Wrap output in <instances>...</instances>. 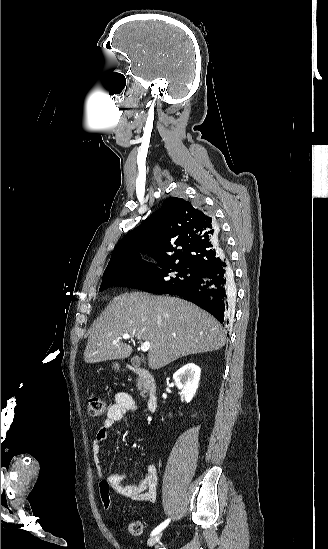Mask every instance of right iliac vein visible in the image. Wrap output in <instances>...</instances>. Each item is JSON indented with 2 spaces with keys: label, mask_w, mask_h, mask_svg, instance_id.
Instances as JSON below:
<instances>
[{
  "label": "right iliac vein",
  "mask_w": 328,
  "mask_h": 549,
  "mask_svg": "<svg viewBox=\"0 0 328 549\" xmlns=\"http://www.w3.org/2000/svg\"><path fill=\"white\" fill-rule=\"evenodd\" d=\"M161 537H162V533H157V534L151 536L147 541L148 547L154 546L157 542H159Z\"/></svg>",
  "instance_id": "63e3f726"
}]
</instances>
